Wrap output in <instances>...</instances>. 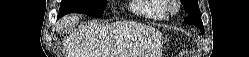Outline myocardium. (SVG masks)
Here are the masks:
<instances>
[{
    "label": "myocardium",
    "instance_id": "1",
    "mask_svg": "<svg viewBox=\"0 0 249 57\" xmlns=\"http://www.w3.org/2000/svg\"><path fill=\"white\" fill-rule=\"evenodd\" d=\"M180 9V3L179 1H171V6L169 8V12L171 14H175L179 11Z\"/></svg>",
    "mask_w": 249,
    "mask_h": 57
}]
</instances>
